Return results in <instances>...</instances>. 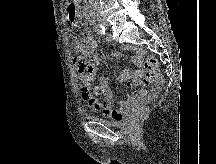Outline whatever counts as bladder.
<instances>
[{"label": "bladder", "instance_id": "1", "mask_svg": "<svg viewBox=\"0 0 216 164\" xmlns=\"http://www.w3.org/2000/svg\"><path fill=\"white\" fill-rule=\"evenodd\" d=\"M94 119L102 124L109 125V126H121L125 123V121L106 120L98 117H94Z\"/></svg>", "mask_w": 216, "mask_h": 164}]
</instances>
